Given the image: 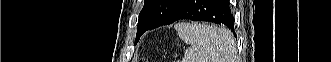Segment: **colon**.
<instances>
[{
    "label": "colon",
    "mask_w": 331,
    "mask_h": 62,
    "mask_svg": "<svg viewBox=\"0 0 331 62\" xmlns=\"http://www.w3.org/2000/svg\"><path fill=\"white\" fill-rule=\"evenodd\" d=\"M139 62H148V61L145 59H140Z\"/></svg>",
    "instance_id": "colon-1"
}]
</instances>
